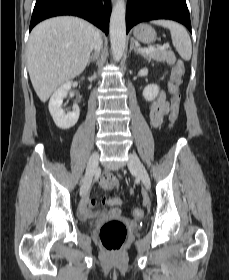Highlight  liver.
<instances>
[{
    "mask_svg": "<svg viewBox=\"0 0 229 280\" xmlns=\"http://www.w3.org/2000/svg\"><path fill=\"white\" fill-rule=\"evenodd\" d=\"M96 30L71 16L39 23L27 45V68L39 99L45 103L65 82L80 75L90 58Z\"/></svg>",
    "mask_w": 229,
    "mask_h": 280,
    "instance_id": "6515ba94",
    "label": "liver"
}]
</instances>
